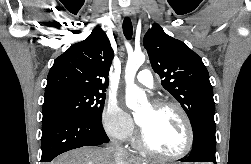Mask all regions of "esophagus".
Segmentation results:
<instances>
[{
	"label": "esophagus",
	"instance_id": "obj_1",
	"mask_svg": "<svg viewBox=\"0 0 251 164\" xmlns=\"http://www.w3.org/2000/svg\"><path fill=\"white\" fill-rule=\"evenodd\" d=\"M125 15H126L127 17H131L132 11H131L130 9H126V10H125Z\"/></svg>",
	"mask_w": 251,
	"mask_h": 164
}]
</instances>
